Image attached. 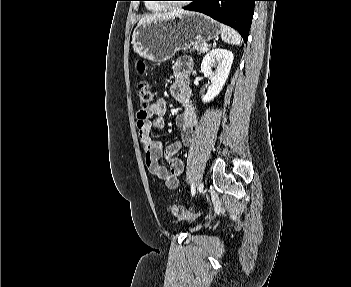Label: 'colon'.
Returning <instances> with one entry per match:
<instances>
[{"instance_id":"obj_1","label":"colon","mask_w":351,"mask_h":287,"mask_svg":"<svg viewBox=\"0 0 351 287\" xmlns=\"http://www.w3.org/2000/svg\"><path fill=\"white\" fill-rule=\"evenodd\" d=\"M136 67L139 73L142 74L146 72L147 68L143 61H138ZM137 95H138L140 104L143 107H147L153 102L155 98V90L150 83L146 81H141L137 86ZM169 211L174 217L179 219L191 220L196 215V212L194 210L177 205V204H170Z\"/></svg>"}]
</instances>
